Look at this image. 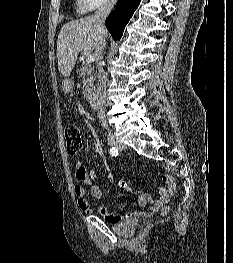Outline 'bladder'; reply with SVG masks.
Returning <instances> with one entry per match:
<instances>
[{
	"instance_id": "obj_1",
	"label": "bladder",
	"mask_w": 233,
	"mask_h": 263,
	"mask_svg": "<svg viewBox=\"0 0 233 263\" xmlns=\"http://www.w3.org/2000/svg\"><path fill=\"white\" fill-rule=\"evenodd\" d=\"M137 225V219L136 218H127L120 222L113 223L111 225L112 230L121 236H129L133 234L135 228Z\"/></svg>"
}]
</instances>
